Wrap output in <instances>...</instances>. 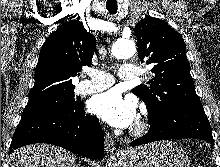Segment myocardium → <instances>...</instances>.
I'll use <instances>...</instances> for the list:
<instances>
[{
	"label": "myocardium",
	"instance_id": "1",
	"mask_svg": "<svg viewBox=\"0 0 220 167\" xmlns=\"http://www.w3.org/2000/svg\"><path fill=\"white\" fill-rule=\"evenodd\" d=\"M147 127H148V125H147V123L145 121H140L136 125V127H135V129L133 131V134L135 136H141V135H143L146 132Z\"/></svg>",
	"mask_w": 220,
	"mask_h": 167
}]
</instances>
